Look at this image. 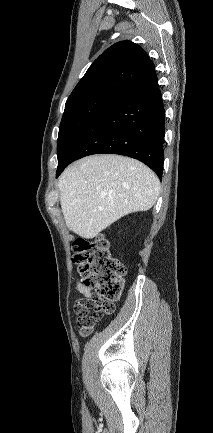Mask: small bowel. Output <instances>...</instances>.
<instances>
[{
  "mask_svg": "<svg viewBox=\"0 0 213 433\" xmlns=\"http://www.w3.org/2000/svg\"><path fill=\"white\" fill-rule=\"evenodd\" d=\"M76 290L85 297H89L91 295L90 291L88 289H86L83 285H81L79 282L76 283ZM92 329H93V326H91L89 328H82L81 334L84 336L88 335L92 331Z\"/></svg>",
  "mask_w": 213,
  "mask_h": 433,
  "instance_id": "1",
  "label": "small bowel"
}]
</instances>
